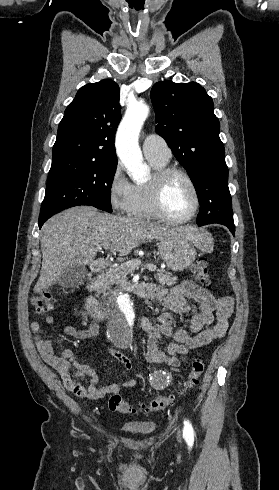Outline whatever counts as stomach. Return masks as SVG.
<instances>
[{"label":"stomach","instance_id":"0dacf381","mask_svg":"<svg viewBox=\"0 0 279 490\" xmlns=\"http://www.w3.org/2000/svg\"><path fill=\"white\" fill-rule=\"evenodd\" d=\"M158 254L172 272L188 270L197 256L193 240H187L181 234H171L169 238L161 240Z\"/></svg>","mask_w":279,"mask_h":490}]
</instances>
